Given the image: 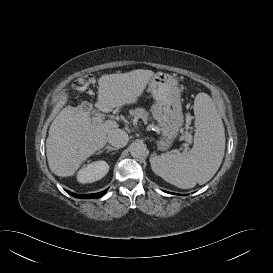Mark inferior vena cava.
Returning <instances> with one entry per match:
<instances>
[{
    "label": "inferior vena cava",
    "instance_id": "inferior-vena-cava-1",
    "mask_svg": "<svg viewBox=\"0 0 273 273\" xmlns=\"http://www.w3.org/2000/svg\"><path fill=\"white\" fill-rule=\"evenodd\" d=\"M128 140V134L121 129H113L108 133L107 136V142L117 149L126 146Z\"/></svg>",
    "mask_w": 273,
    "mask_h": 273
}]
</instances>
